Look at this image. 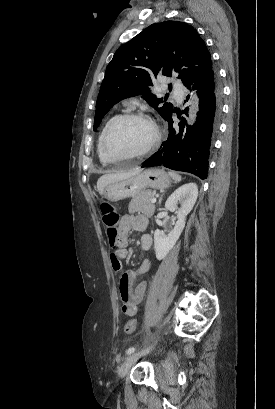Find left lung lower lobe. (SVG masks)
I'll return each instance as SVG.
<instances>
[{"label": "left lung lower lobe", "instance_id": "1", "mask_svg": "<svg viewBox=\"0 0 275 409\" xmlns=\"http://www.w3.org/2000/svg\"><path fill=\"white\" fill-rule=\"evenodd\" d=\"M191 85L198 90L200 99L196 123L184 129V121H182L179 124L180 129L175 130L172 119L175 112L173 108L166 118L169 124L167 140L142 167L163 165L172 170L192 173L204 180L208 174L212 137L218 130L222 113V85L218 71L212 64L186 87L190 88ZM188 98L189 96L185 102ZM183 113L188 115V108Z\"/></svg>", "mask_w": 275, "mask_h": 409}]
</instances>
